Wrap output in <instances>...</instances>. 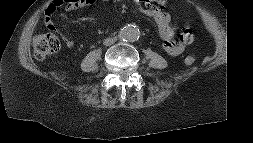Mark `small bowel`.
<instances>
[{
    "label": "small bowel",
    "mask_w": 253,
    "mask_h": 143,
    "mask_svg": "<svg viewBox=\"0 0 253 143\" xmlns=\"http://www.w3.org/2000/svg\"><path fill=\"white\" fill-rule=\"evenodd\" d=\"M95 1L96 0H92V2L88 4H93ZM133 1L136 3H142L139 7L140 11L154 19L156 22L163 39L164 50L171 56L180 55L184 51L185 45L183 42H178L174 39L175 26L172 23L170 14L164 9L166 0H159V2L153 7L148 6L142 0ZM52 16L53 14L48 11L45 12V24L48 29L58 32V29L52 21ZM63 41L67 47H72L74 45L73 40L66 36H63Z\"/></svg>",
    "instance_id": "c3829d8e"
}]
</instances>
